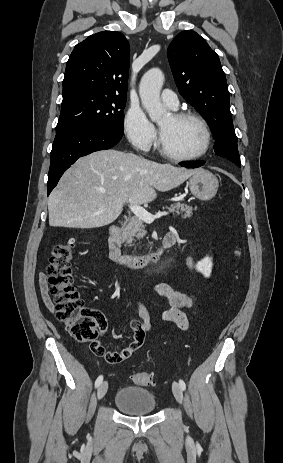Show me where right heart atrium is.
Instances as JSON below:
<instances>
[{"mask_svg":"<svg viewBox=\"0 0 283 463\" xmlns=\"http://www.w3.org/2000/svg\"><path fill=\"white\" fill-rule=\"evenodd\" d=\"M124 128L129 142L142 151L149 150L155 141V128L144 111L138 106H131L125 116Z\"/></svg>","mask_w":283,"mask_h":463,"instance_id":"d8ad5b80","label":"right heart atrium"}]
</instances>
